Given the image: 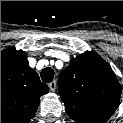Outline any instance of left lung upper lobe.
<instances>
[{"mask_svg": "<svg viewBox=\"0 0 123 123\" xmlns=\"http://www.w3.org/2000/svg\"><path fill=\"white\" fill-rule=\"evenodd\" d=\"M59 92L67 114L105 122L117 109L122 86L109 64L86 51L61 71Z\"/></svg>", "mask_w": 123, "mask_h": 123, "instance_id": "1", "label": "left lung upper lobe"}]
</instances>
